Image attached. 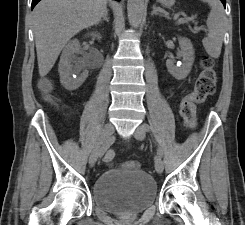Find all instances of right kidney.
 <instances>
[{
	"mask_svg": "<svg viewBox=\"0 0 245 225\" xmlns=\"http://www.w3.org/2000/svg\"><path fill=\"white\" fill-rule=\"evenodd\" d=\"M90 35L98 39L101 38L97 33H91ZM79 51V41L77 39L70 41L63 49L58 65L60 82L69 91L78 89L88 77L86 70L81 73L83 69L82 60L75 55Z\"/></svg>",
	"mask_w": 245,
	"mask_h": 225,
	"instance_id": "obj_1",
	"label": "right kidney"
}]
</instances>
